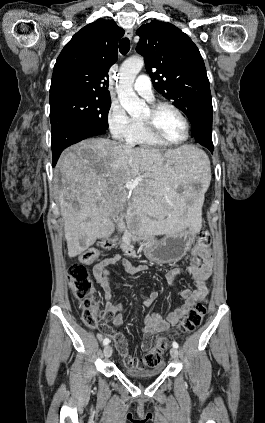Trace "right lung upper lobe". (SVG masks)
I'll use <instances>...</instances> for the list:
<instances>
[{"label": "right lung upper lobe", "mask_w": 265, "mask_h": 423, "mask_svg": "<svg viewBox=\"0 0 265 423\" xmlns=\"http://www.w3.org/2000/svg\"><path fill=\"white\" fill-rule=\"evenodd\" d=\"M123 35L113 20L102 18L78 31L57 58L50 98L67 93L110 98L108 70L117 61Z\"/></svg>", "instance_id": "1"}]
</instances>
